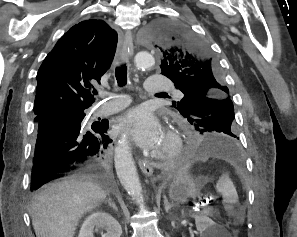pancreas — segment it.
<instances>
[{"mask_svg":"<svg viewBox=\"0 0 297 237\" xmlns=\"http://www.w3.org/2000/svg\"><path fill=\"white\" fill-rule=\"evenodd\" d=\"M201 213L203 215H207V216H210V217H213V216L219 214V212L217 210H214L213 208H210V207L204 208Z\"/></svg>","mask_w":297,"mask_h":237,"instance_id":"1","label":"pancreas"}]
</instances>
